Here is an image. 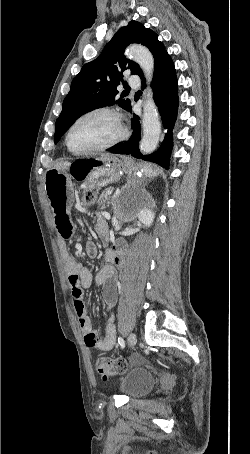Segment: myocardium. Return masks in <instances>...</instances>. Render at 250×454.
Here are the masks:
<instances>
[{"label": "myocardium", "mask_w": 250, "mask_h": 454, "mask_svg": "<svg viewBox=\"0 0 250 454\" xmlns=\"http://www.w3.org/2000/svg\"><path fill=\"white\" fill-rule=\"evenodd\" d=\"M100 113L109 114L114 118L117 128H118L117 135L114 138H112L111 140H109L108 142L101 144L99 146L93 147V148L84 149V150L74 149L70 143V136H71V133H72V130L74 129V127L79 122H81L83 119H85L89 116L95 115V114H100ZM126 137H127V129L123 123L121 114L114 108L102 106V107L93 108V109L88 110L85 113L81 114L69 127L66 137H65V142H66L68 149L74 154H92V153L108 150V149L116 146L120 142H122Z\"/></svg>", "instance_id": "myocardium-1"}]
</instances>
